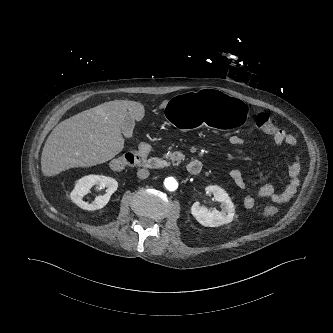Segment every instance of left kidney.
Returning a JSON list of instances; mask_svg holds the SVG:
<instances>
[{
    "instance_id": "obj_1",
    "label": "left kidney",
    "mask_w": 333,
    "mask_h": 333,
    "mask_svg": "<svg viewBox=\"0 0 333 333\" xmlns=\"http://www.w3.org/2000/svg\"><path fill=\"white\" fill-rule=\"evenodd\" d=\"M208 193L214 195V199L222 203V210L209 211L203 207L199 202H195L191 207L193 217L203 226L218 227L232 222L235 214L234 204L226 191L217 186L210 185L205 188Z\"/></svg>"
}]
</instances>
